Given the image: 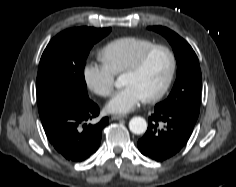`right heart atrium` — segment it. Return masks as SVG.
Returning a JSON list of instances; mask_svg holds the SVG:
<instances>
[{"label":"right heart atrium","instance_id":"1","mask_svg":"<svg viewBox=\"0 0 236 187\" xmlns=\"http://www.w3.org/2000/svg\"><path fill=\"white\" fill-rule=\"evenodd\" d=\"M86 86L95 94L107 97L114 88V75L102 64L87 63L83 68Z\"/></svg>","mask_w":236,"mask_h":187}]
</instances>
